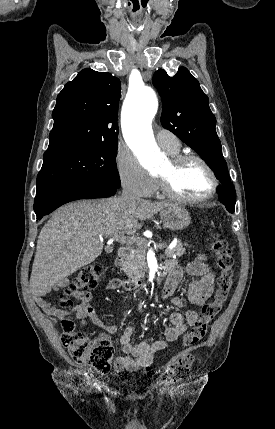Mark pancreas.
Wrapping results in <instances>:
<instances>
[{"instance_id":"1","label":"pancreas","mask_w":275,"mask_h":429,"mask_svg":"<svg viewBox=\"0 0 275 429\" xmlns=\"http://www.w3.org/2000/svg\"><path fill=\"white\" fill-rule=\"evenodd\" d=\"M187 245V243L183 245L181 241H178L175 247L167 248L164 254L168 258H172L173 256H181L185 252L184 246ZM147 248L148 245L145 240L138 242L135 249H133V251H131L126 257V261L122 262V265L125 267L124 272L128 277L136 279L144 276V272L147 271Z\"/></svg>"}]
</instances>
